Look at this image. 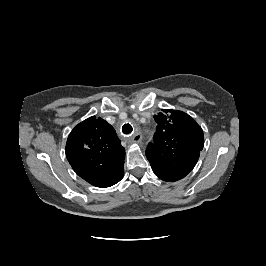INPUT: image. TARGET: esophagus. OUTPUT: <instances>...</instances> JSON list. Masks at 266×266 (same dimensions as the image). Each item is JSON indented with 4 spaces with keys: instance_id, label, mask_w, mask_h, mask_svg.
Here are the masks:
<instances>
[{
    "instance_id": "34e87169",
    "label": "esophagus",
    "mask_w": 266,
    "mask_h": 266,
    "mask_svg": "<svg viewBox=\"0 0 266 266\" xmlns=\"http://www.w3.org/2000/svg\"><path fill=\"white\" fill-rule=\"evenodd\" d=\"M131 139H132V142H134V143H140L142 140V135H141V133H136L132 136Z\"/></svg>"
}]
</instances>
